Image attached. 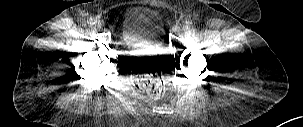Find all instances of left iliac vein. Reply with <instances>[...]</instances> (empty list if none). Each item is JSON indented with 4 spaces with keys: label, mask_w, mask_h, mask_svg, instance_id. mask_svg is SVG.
Instances as JSON below:
<instances>
[{
    "label": "left iliac vein",
    "mask_w": 303,
    "mask_h": 127,
    "mask_svg": "<svg viewBox=\"0 0 303 127\" xmlns=\"http://www.w3.org/2000/svg\"><path fill=\"white\" fill-rule=\"evenodd\" d=\"M182 32H183V33H188V32H190V30H189L188 27H183V28H182Z\"/></svg>",
    "instance_id": "left-iliac-vein-1"
}]
</instances>
